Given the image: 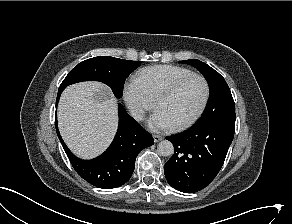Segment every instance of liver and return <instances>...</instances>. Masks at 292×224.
I'll use <instances>...</instances> for the list:
<instances>
[{
  "mask_svg": "<svg viewBox=\"0 0 292 224\" xmlns=\"http://www.w3.org/2000/svg\"><path fill=\"white\" fill-rule=\"evenodd\" d=\"M57 116L69 149L80 158H93L107 148L115 134L117 100L99 82L73 84L63 91Z\"/></svg>",
  "mask_w": 292,
  "mask_h": 224,
  "instance_id": "liver-1",
  "label": "liver"
}]
</instances>
